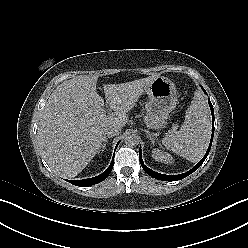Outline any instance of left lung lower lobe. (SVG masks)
<instances>
[{
	"label": "left lung lower lobe",
	"instance_id": "left-lung-lower-lobe-1",
	"mask_svg": "<svg viewBox=\"0 0 248 248\" xmlns=\"http://www.w3.org/2000/svg\"><path fill=\"white\" fill-rule=\"evenodd\" d=\"M204 92H205V90H204ZM209 106H210V109H211L212 120H213L212 136H211V141H210V145L208 147V150H207L205 156L202 158V160L193 169H191L190 171H188L186 173L179 174V175H172V176L171 175H164V174L156 173V172L152 171L151 169H149L146 165H144V162L142 160V155H141V146H140V150H139L140 163L142 165L143 170L149 176H151L153 178H156V179H159V180H163V181H177V180H181V179L187 177L188 175H190L191 173H193L195 170H197L199 166H201V164L204 162V160L206 159V157L209 154V151H210V148H211V145H212L213 135H214V111H213V106H212L210 100H209Z\"/></svg>",
	"mask_w": 248,
	"mask_h": 248
}]
</instances>
